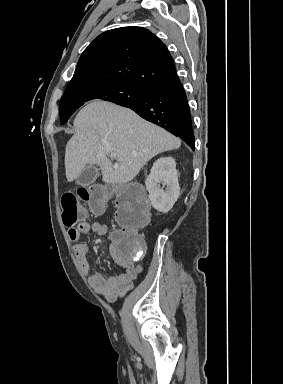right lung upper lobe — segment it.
<instances>
[{"label": "right lung upper lobe", "mask_w": 283, "mask_h": 384, "mask_svg": "<svg viewBox=\"0 0 283 384\" xmlns=\"http://www.w3.org/2000/svg\"><path fill=\"white\" fill-rule=\"evenodd\" d=\"M175 75L173 59L159 38L145 28L122 27L91 42L66 89L125 82L148 90Z\"/></svg>", "instance_id": "1"}]
</instances>
